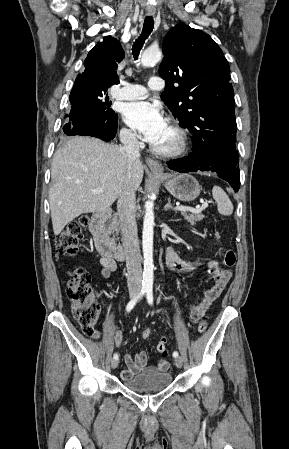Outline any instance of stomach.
Masks as SVG:
<instances>
[{
  "instance_id": "0dacf381",
  "label": "stomach",
  "mask_w": 289,
  "mask_h": 449,
  "mask_svg": "<svg viewBox=\"0 0 289 449\" xmlns=\"http://www.w3.org/2000/svg\"><path fill=\"white\" fill-rule=\"evenodd\" d=\"M159 177L165 180V188L175 198L190 202L195 200L200 194V185L198 181L189 174L173 175L170 178Z\"/></svg>"
}]
</instances>
